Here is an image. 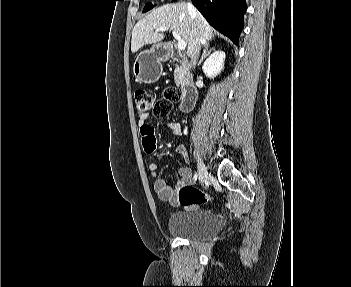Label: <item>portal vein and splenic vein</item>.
I'll list each match as a JSON object with an SVG mask.
<instances>
[{
    "label": "portal vein and splenic vein",
    "instance_id": "obj_1",
    "mask_svg": "<svg viewBox=\"0 0 351 287\" xmlns=\"http://www.w3.org/2000/svg\"><path fill=\"white\" fill-rule=\"evenodd\" d=\"M168 27H159L156 29L158 32H163L168 30ZM174 38L177 40V48L179 51L185 50L187 43L181 38L180 34L178 31L173 30L172 31Z\"/></svg>",
    "mask_w": 351,
    "mask_h": 287
}]
</instances>
